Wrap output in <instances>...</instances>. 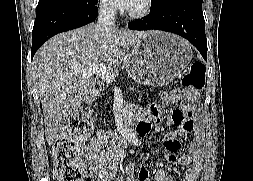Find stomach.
Here are the masks:
<instances>
[{"instance_id": "0dacf381", "label": "stomach", "mask_w": 253, "mask_h": 181, "mask_svg": "<svg viewBox=\"0 0 253 181\" xmlns=\"http://www.w3.org/2000/svg\"><path fill=\"white\" fill-rule=\"evenodd\" d=\"M192 59L191 46L176 35L153 31L128 54L126 71L137 83L164 86L176 78Z\"/></svg>"}]
</instances>
